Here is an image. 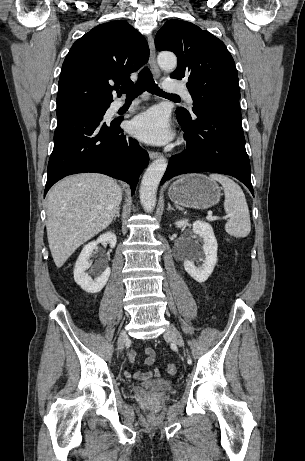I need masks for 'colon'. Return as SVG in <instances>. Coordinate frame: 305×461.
<instances>
[{
    "label": "colon",
    "instance_id": "colon-1",
    "mask_svg": "<svg viewBox=\"0 0 305 461\" xmlns=\"http://www.w3.org/2000/svg\"><path fill=\"white\" fill-rule=\"evenodd\" d=\"M166 372L169 375H176L178 372L177 366L173 363H170L166 366Z\"/></svg>",
    "mask_w": 305,
    "mask_h": 461
}]
</instances>
